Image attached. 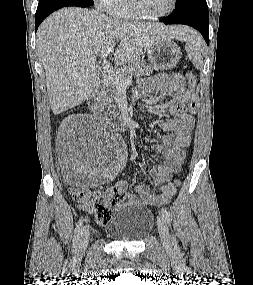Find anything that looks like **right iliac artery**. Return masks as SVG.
Wrapping results in <instances>:
<instances>
[{"label": "right iliac artery", "instance_id": "1", "mask_svg": "<svg viewBox=\"0 0 253 285\" xmlns=\"http://www.w3.org/2000/svg\"><path fill=\"white\" fill-rule=\"evenodd\" d=\"M82 226H83V220L80 219L78 221V223L76 224L74 238H73V248H75V249H77V246H78V243H79V240H80Z\"/></svg>", "mask_w": 253, "mask_h": 285}]
</instances>
